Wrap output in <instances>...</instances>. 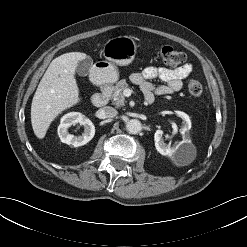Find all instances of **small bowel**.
Wrapping results in <instances>:
<instances>
[{"instance_id":"1","label":"small bowel","mask_w":247,"mask_h":247,"mask_svg":"<svg viewBox=\"0 0 247 247\" xmlns=\"http://www.w3.org/2000/svg\"><path fill=\"white\" fill-rule=\"evenodd\" d=\"M192 71L193 66L190 63L176 68L149 66L141 72L133 73L131 81L141 88L145 100H154L156 95L162 96L179 91L183 79L188 77ZM153 79H159L165 84L155 86L150 82Z\"/></svg>"}]
</instances>
